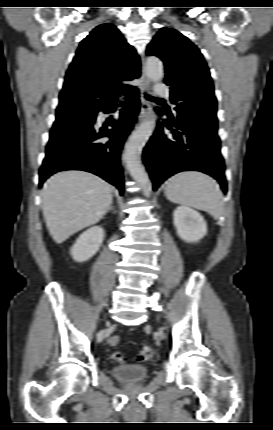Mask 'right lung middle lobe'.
Here are the masks:
<instances>
[{"label":"right lung middle lobe","instance_id":"obj_1","mask_svg":"<svg viewBox=\"0 0 273 430\" xmlns=\"http://www.w3.org/2000/svg\"><path fill=\"white\" fill-rule=\"evenodd\" d=\"M92 115L91 108L81 101H72L59 106L50 136L54 137L84 128L90 123Z\"/></svg>","mask_w":273,"mask_h":430}]
</instances>
